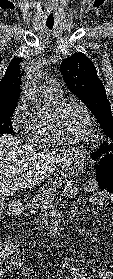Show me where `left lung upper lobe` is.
<instances>
[{
	"instance_id": "obj_1",
	"label": "left lung upper lobe",
	"mask_w": 113,
	"mask_h": 279,
	"mask_svg": "<svg viewBox=\"0 0 113 279\" xmlns=\"http://www.w3.org/2000/svg\"><path fill=\"white\" fill-rule=\"evenodd\" d=\"M60 70L68 88L93 113L105 135L113 139L111 107L93 62L83 53L77 52L61 63Z\"/></svg>"
}]
</instances>
